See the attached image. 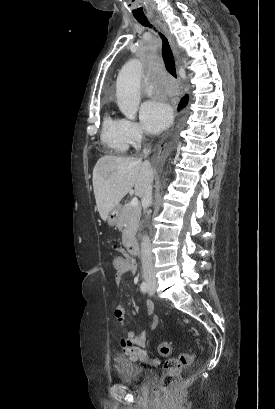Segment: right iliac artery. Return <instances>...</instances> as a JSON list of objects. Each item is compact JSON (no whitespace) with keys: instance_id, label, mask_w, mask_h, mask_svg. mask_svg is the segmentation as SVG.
<instances>
[{"instance_id":"right-iliac-artery-1","label":"right iliac artery","mask_w":275,"mask_h":409,"mask_svg":"<svg viewBox=\"0 0 275 409\" xmlns=\"http://www.w3.org/2000/svg\"><path fill=\"white\" fill-rule=\"evenodd\" d=\"M140 289H141V291L143 293H146L148 291V289H149V286H148L147 282H142L141 285H140Z\"/></svg>"}]
</instances>
